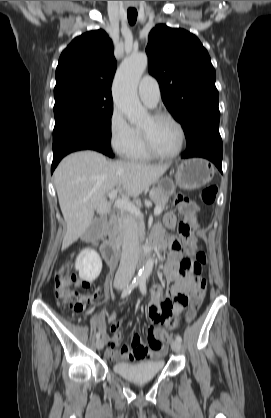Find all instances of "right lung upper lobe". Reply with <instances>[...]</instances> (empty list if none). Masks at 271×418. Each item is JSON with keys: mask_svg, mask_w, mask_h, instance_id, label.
Masks as SVG:
<instances>
[{"mask_svg": "<svg viewBox=\"0 0 271 418\" xmlns=\"http://www.w3.org/2000/svg\"><path fill=\"white\" fill-rule=\"evenodd\" d=\"M115 71L112 41L103 30L76 37L59 58L55 102L78 97L112 99Z\"/></svg>", "mask_w": 271, "mask_h": 418, "instance_id": "cb5924a9", "label": "right lung upper lobe"}]
</instances>
